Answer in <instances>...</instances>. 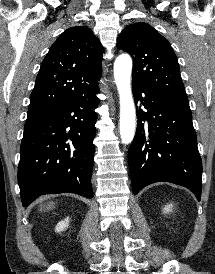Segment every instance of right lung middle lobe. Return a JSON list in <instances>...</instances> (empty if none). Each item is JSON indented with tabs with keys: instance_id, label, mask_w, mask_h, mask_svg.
<instances>
[{
	"instance_id": "dd1d6c3e",
	"label": "right lung middle lobe",
	"mask_w": 215,
	"mask_h": 274,
	"mask_svg": "<svg viewBox=\"0 0 215 274\" xmlns=\"http://www.w3.org/2000/svg\"><path fill=\"white\" fill-rule=\"evenodd\" d=\"M46 115H47V113H45V112H29L27 114V119H26V122H25V127L36 123L38 120L42 119Z\"/></svg>"
}]
</instances>
